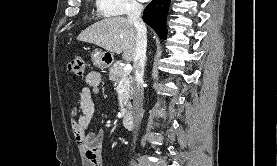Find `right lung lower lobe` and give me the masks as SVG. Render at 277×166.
<instances>
[{"instance_id": "obj_1", "label": "right lung lower lobe", "mask_w": 277, "mask_h": 166, "mask_svg": "<svg viewBox=\"0 0 277 166\" xmlns=\"http://www.w3.org/2000/svg\"><path fill=\"white\" fill-rule=\"evenodd\" d=\"M169 0H153L145 8L143 13V20L152 27L158 36L166 39V16L169 8Z\"/></svg>"}]
</instances>
